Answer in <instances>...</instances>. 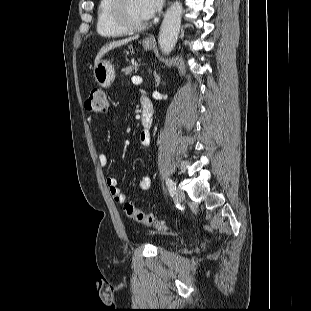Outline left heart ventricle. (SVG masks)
I'll return each instance as SVG.
<instances>
[{
    "mask_svg": "<svg viewBox=\"0 0 311 311\" xmlns=\"http://www.w3.org/2000/svg\"><path fill=\"white\" fill-rule=\"evenodd\" d=\"M126 14L129 21L132 23L140 24L147 21L145 16L142 14L139 0H127Z\"/></svg>",
    "mask_w": 311,
    "mask_h": 311,
    "instance_id": "b2bd125f",
    "label": "left heart ventricle"
}]
</instances>
